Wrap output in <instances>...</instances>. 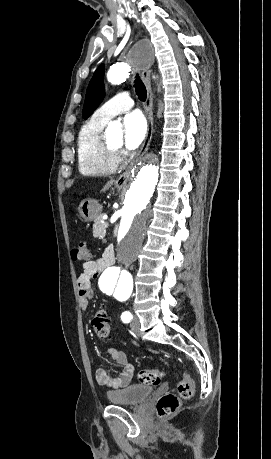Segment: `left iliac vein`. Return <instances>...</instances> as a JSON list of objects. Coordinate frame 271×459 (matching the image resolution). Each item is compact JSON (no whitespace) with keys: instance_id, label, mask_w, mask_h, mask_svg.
I'll return each mask as SVG.
<instances>
[{"instance_id":"obj_1","label":"left iliac vein","mask_w":271,"mask_h":459,"mask_svg":"<svg viewBox=\"0 0 271 459\" xmlns=\"http://www.w3.org/2000/svg\"><path fill=\"white\" fill-rule=\"evenodd\" d=\"M131 329L134 333L140 335L141 332H140V322H139V318L137 315H134L133 316V319L131 321Z\"/></svg>"}]
</instances>
